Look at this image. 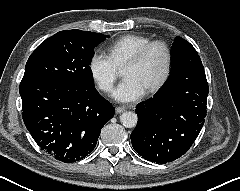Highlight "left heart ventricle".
Here are the masks:
<instances>
[{
  "mask_svg": "<svg viewBox=\"0 0 240 191\" xmlns=\"http://www.w3.org/2000/svg\"><path fill=\"white\" fill-rule=\"evenodd\" d=\"M165 63V50L161 46H155L140 64L124 67L122 71L123 77L136 79L146 92L161 79Z\"/></svg>",
  "mask_w": 240,
  "mask_h": 191,
  "instance_id": "left-heart-ventricle-1",
  "label": "left heart ventricle"
}]
</instances>
